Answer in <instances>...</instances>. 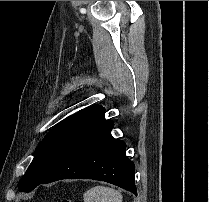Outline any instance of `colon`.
<instances>
[{
  "label": "colon",
  "instance_id": "obj_1",
  "mask_svg": "<svg viewBox=\"0 0 209 202\" xmlns=\"http://www.w3.org/2000/svg\"><path fill=\"white\" fill-rule=\"evenodd\" d=\"M56 202H73L72 200L68 199H62V200H57Z\"/></svg>",
  "mask_w": 209,
  "mask_h": 202
}]
</instances>
